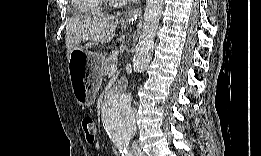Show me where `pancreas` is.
Returning a JSON list of instances; mask_svg holds the SVG:
<instances>
[{
    "mask_svg": "<svg viewBox=\"0 0 261 156\" xmlns=\"http://www.w3.org/2000/svg\"><path fill=\"white\" fill-rule=\"evenodd\" d=\"M118 62L117 56L111 54L107 59H105L102 65V75H108L112 65H116Z\"/></svg>",
    "mask_w": 261,
    "mask_h": 156,
    "instance_id": "obj_1",
    "label": "pancreas"
}]
</instances>
